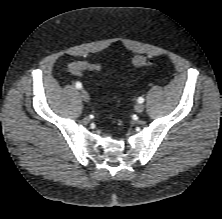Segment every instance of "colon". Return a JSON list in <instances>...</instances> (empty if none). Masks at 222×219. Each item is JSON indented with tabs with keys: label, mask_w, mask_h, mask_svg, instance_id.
<instances>
[{
	"label": "colon",
	"mask_w": 222,
	"mask_h": 219,
	"mask_svg": "<svg viewBox=\"0 0 222 219\" xmlns=\"http://www.w3.org/2000/svg\"><path fill=\"white\" fill-rule=\"evenodd\" d=\"M147 63H148V59L143 55H137L132 59V64L134 67H142V66H145ZM93 68L95 71L101 70V66L97 64Z\"/></svg>",
	"instance_id": "colon-1"
}]
</instances>
